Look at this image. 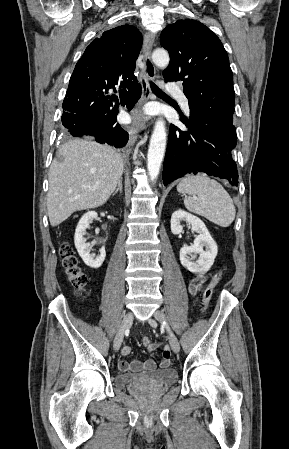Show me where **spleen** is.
Wrapping results in <instances>:
<instances>
[{"label":"spleen","instance_id":"1","mask_svg":"<svg viewBox=\"0 0 289 449\" xmlns=\"http://www.w3.org/2000/svg\"><path fill=\"white\" fill-rule=\"evenodd\" d=\"M177 190L185 195L184 205L190 212L224 228L234 221L236 210L233 200L216 180L204 174L188 175L179 182Z\"/></svg>","mask_w":289,"mask_h":449}]
</instances>
